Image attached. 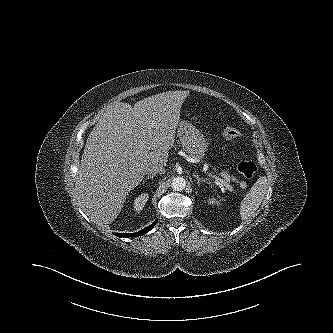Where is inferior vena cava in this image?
<instances>
[{"mask_svg": "<svg viewBox=\"0 0 333 333\" xmlns=\"http://www.w3.org/2000/svg\"><path fill=\"white\" fill-rule=\"evenodd\" d=\"M147 173L148 175H156V174H164L165 170L163 167L161 166H152L147 168Z\"/></svg>", "mask_w": 333, "mask_h": 333, "instance_id": "obj_1", "label": "inferior vena cava"}]
</instances>
